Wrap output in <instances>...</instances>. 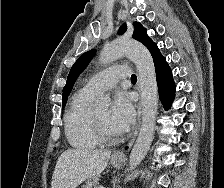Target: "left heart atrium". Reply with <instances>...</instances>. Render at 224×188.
<instances>
[{"mask_svg":"<svg viewBox=\"0 0 224 188\" xmlns=\"http://www.w3.org/2000/svg\"><path fill=\"white\" fill-rule=\"evenodd\" d=\"M135 118L134 108L127 94H118L109 110V121L117 133L125 132Z\"/></svg>","mask_w":224,"mask_h":188,"instance_id":"left-heart-atrium-1","label":"left heart atrium"}]
</instances>
